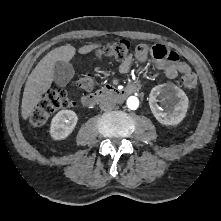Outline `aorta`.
Listing matches in <instances>:
<instances>
[{
	"label": "aorta",
	"mask_w": 221,
	"mask_h": 221,
	"mask_svg": "<svg viewBox=\"0 0 221 221\" xmlns=\"http://www.w3.org/2000/svg\"><path fill=\"white\" fill-rule=\"evenodd\" d=\"M127 106L128 108H130L131 110H135L138 108L139 106V100L137 97L135 96H130L128 99H127Z\"/></svg>",
	"instance_id": "762f6f07"
}]
</instances>
